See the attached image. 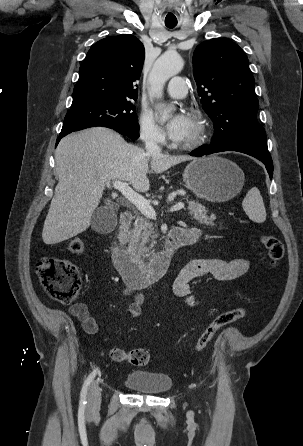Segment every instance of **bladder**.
Here are the masks:
<instances>
[{"label":"bladder","mask_w":303,"mask_h":446,"mask_svg":"<svg viewBox=\"0 0 303 446\" xmlns=\"http://www.w3.org/2000/svg\"><path fill=\"white\" fill-rule=\"evenodd\" d=\"M124 385L133 391L146 394H164L171 390L172 379L165 373L134 370L127 374Z\"/></svg>","instance_id":"bladder-1"}]
</instances>
